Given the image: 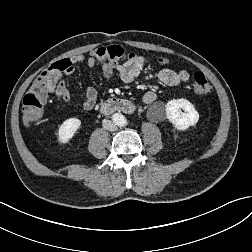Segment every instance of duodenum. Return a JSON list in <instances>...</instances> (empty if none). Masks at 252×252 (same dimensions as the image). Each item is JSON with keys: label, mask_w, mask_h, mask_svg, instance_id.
Instances as JSON below:
<instances>
[{"label": "duodenum", "mask_w": 252, "mask_h": 252, "mask_svg": "<svg viewBox=\"0 0 252 252\" xmlns=\"http://www.w3.org/2000/svg\"><path fill=\"white\" fill-rule=\"evenodd\" d=\"M99 110L103 114H113L116 112L132 113L135 111V106L126 100L112 98L101 103Z\"/></svg>", "instance_id": "obj_1"}]
</instances>
